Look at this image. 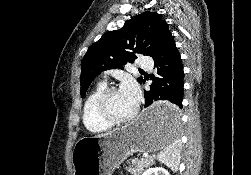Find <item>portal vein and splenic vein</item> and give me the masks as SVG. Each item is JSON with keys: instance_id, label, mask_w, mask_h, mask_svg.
I'll use <instances>...</instances> for the list:
<instances>
[{"instance_id": "obj_1", "label": "portal vein and splenic vein", "mask_w": 251, "mask_h": 175, "mask_svg": "<svg viewBox=\"0 0 251 175\" xmlns=\"http://www.w3.org/2000/svg\"><path fill=\"white\" fill-rule=\"evenodd\" d=\"M141 157H142V158H147V157H148V154H147V153H142V154H141Z\"/></svg>"}]
</instances>
